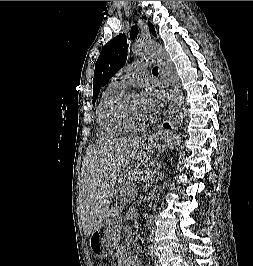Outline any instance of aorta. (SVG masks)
<instances>
[{
  "label": "aorta",
  "mask_w": 253,
  "mask_h": 266,
  "mask_svg": "<svg viewBox=\"0 0 253 266\" xmlns=\"http://www.w3.org/2000/svg\"><path fill=\"white\" fill-rule=\"evenodd\" d=\"M131 51L138 56L151 54L159 61L163 82L170 88L168 92V120L173 132H176L183 122L184 98L178 74L174 65L169 61L168 53L160 44L149 41L135 42Z\"/></svg>",
  "instance_id": "obj_1"
}]
</instances>
